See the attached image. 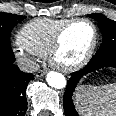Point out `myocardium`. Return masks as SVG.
Instances as JSON below:
<instances>
[{
    "mask_svg": "<svg viewBox=\"0 0 116 116\" xmlns=\"http://www.w3.org/2000/svg\"><path fill=\"white\" fill-rule=\"evenodd\" d=\"M77 23H86L88 25L91 26L92 31H93V37H92V42L88 48V50L86 51V53L84 54V56L77 62L73 63V64H63L58 60V55L61 49V45H62V40L63 37L65 35V33L67 32V30L73 26L74 24ZM98 44V29L95 25L94 22H92L89 19L86 18H76V19H71L69 21H67L56 33L52 45L50 47L49 53H48V59L49 62L51 63V65L53 67H55L58 70H61L63 72H73L76 70H79L81 68H83L85 65L88 64V62L91 60V58L93 57L96 47Z\"/></svg>",
    "mask_w": 116,
    "mask_h": 116,
    "instance_id": "myocardium-1",
    "label": "myocardium"
}]
</instances>
